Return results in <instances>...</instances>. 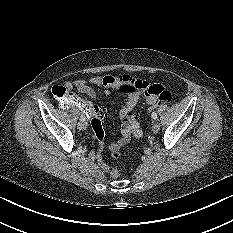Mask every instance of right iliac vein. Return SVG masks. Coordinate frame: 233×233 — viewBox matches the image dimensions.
I'll use <instances>...</instances> for the list:
<instances>
[{"mask_svg": "<svg viewBox=\"0 0 233 233\" xmlns=\"http://www.w3.org/2000/svg\"><path fill=\"white\" fill-rule=\"evenodd\" d=\"M78 129H80V130H84L85 128H86V123H85V121H79V123H78Z\"/></svg>", "mask_w": 233, "mask_h": 233, "instance_id": "obj_1", "label": "right iliac vein"}]
</instances>
